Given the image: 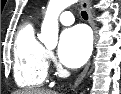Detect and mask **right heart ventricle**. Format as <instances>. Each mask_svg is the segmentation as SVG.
Masks as SVG:
<instances>
[{
	"label": "right heart ventricle",
	"instance_id": "e07e8e85",
	"mask_svg": "<svg viewBox=\"0 0 121 94\" xmlns=\"http://www.w3.org/2000/svg\"><path fill=\"white\" fill-rule=\"evenodd\" d=\"M48 52L37 39L31 23L24 24L14 44V78L19 87L36 88L44 84L48 70Z\"/></svg>",
	"mask_w": 121,
	"mask_h": 94
}]
</instances>
